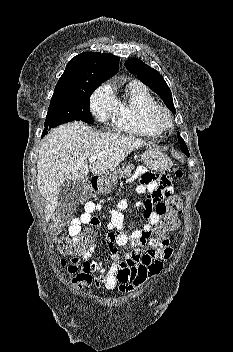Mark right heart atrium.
I'll return each mask as SVG.
<instances>
[{
	"label": "right heart atrium",
	"mask_w": 233,
	"mask_h": 352,
	"mask_svg": "<svg viewBox=\"0 0 233 352\" xmlns=\"http://www.w3.org/2000/svg\"><path fill=\"white\" fill-rule=\"evenodd\" d=\"M90 109L94 117L106 126H112L118 110V100L110 85L100 86L90 98Z\"/></svg>",
	"instance_id": "right-heart-atrium-1"
}]
</instances>
